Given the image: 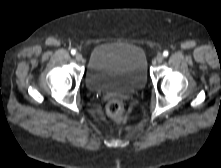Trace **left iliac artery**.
Returning a JSON list of instances; mask_svg holds the SVG:
<instances>
[{
	"label": "left iliac artery",
	"instance_id": "1",
	"mask_svg": "<svg viewBox=\"0 0 221 168\" xmlns=\"http://www.w3.org/2000/svg\"><path fill=\"white\" fill-rule=\"evenodd\" d=\"M168 54H169L168 51H164V52H163V56H165V57H167Z\"/></svg>",
	"mask_w": 221,
	"mask_h": 168
}]
</instances>
